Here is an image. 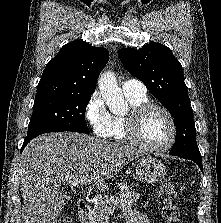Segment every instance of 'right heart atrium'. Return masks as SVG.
<instances>
[{"label":"right heart atrium","mask_w":221,"mask_h":223,"mask_svg":"<svg viewBox=\"0 0 221 223\" xmlns=\"http://www.w3.org/2000/svg\"><path fill=\"white\" fill-rule=\"evenodd\" d=\"M84 116L96 137L102 139L111 137L113 131L112 115L98 92H94L89 97L85 105Z\"/></svg>","instance_id":"right-heart-atrium-1"}]
</instances>
